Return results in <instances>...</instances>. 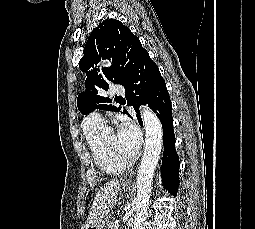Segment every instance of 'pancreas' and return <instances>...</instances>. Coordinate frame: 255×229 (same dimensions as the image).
<instances>
[{"label":"pancreas","mask_w":255,"mask_h":229,"mask_svg":"<svg viewBox=\"0 0 255 229\" xmlns=\"http://www.w3.org/2000/svg\"><path fill=\"white\" fill-rule=\"evenodd\" d=\"M118 222L116 220H113L112 222H110V224L108 225V229H115V224H117Z\"/></svg>","instance_id":"cf45deb5"}]
</instances>
